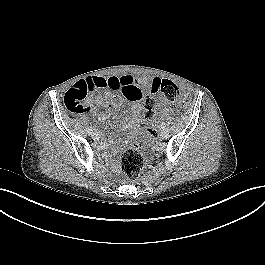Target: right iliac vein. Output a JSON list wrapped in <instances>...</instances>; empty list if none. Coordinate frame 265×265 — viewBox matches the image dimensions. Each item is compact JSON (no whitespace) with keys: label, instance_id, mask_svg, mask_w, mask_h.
Listing matches in <instances>:
<instances>
[{"label":"right iliac vein","instance_id":"1","mask_svg":"<svg viewBox=\"0 0 265 265\" xmlns=\"http://www.w3.org/2000/svg\"><path fill=\"white\" fill-rule=\"evenodd\" d=\"M92 138H93V139H99V138H100L99 133H97V132L93 133V134H92Z\"/></svg>","mask_w":265,"mask_h":265}]
</instances>
